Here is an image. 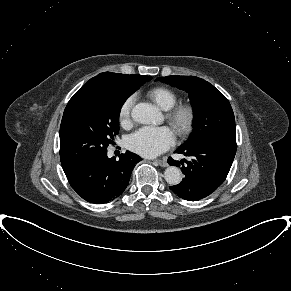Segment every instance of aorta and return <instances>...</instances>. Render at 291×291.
I'll list each match as a JSON object with an SVG mask.
<instances>
[{"mask_svg":"<svg viewBox=\"0 0 291 291\" xmlns=\"http://www.w3.org/2000/svg\"><path fill=\"white\" fill-rule=\"evenodd\" d=\"M131 116L134 121L141 124L155 123L160 113L158 109L149 103H138L131 111ZM165 181L170 185H177L182 180V172L176 166H169L164 172Z\"/></svg>","mask_w":291,"mask_h":291,"instance_id":"aorta-1","label":"aorta"}]
</instances>
